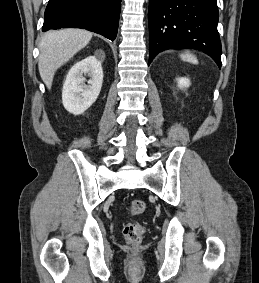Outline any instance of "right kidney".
<instances>
[{
	"mask_svg": "<svg viewBox=\"0 0 259 283\" xmlns=\"http://www.w3.org/2000/svg\"><path fill=\"white\" fill-rule=\"evenodd\" d=\"M90 77L88 85L85 77ZM103 83L101 61L95 56H88L77 62L69 70L62 90L64 108L74 114L84 113L97 99Z\"/></svg>",
	"mask_w": 259,
	"mask_h": 283,
	"instance_id": "right-kidney-1",
	"label": "right kidney"
}]
</instances>
